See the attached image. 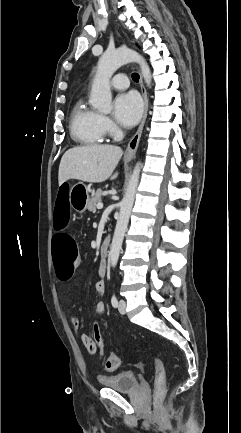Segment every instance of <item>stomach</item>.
Listing matches in <instances>:
<instances>
[{"mask_svg": "<svg viewBox=\"0 0 241 433\" xmlns=\"http://www.w3.org/2000/svg\"><path fill=\"white\" fill-rule=\"evenodd\" d=\"M71 207L79 213L86 211L90 196L89 190L83 183H77L70 188Z\"/></svg>", "mask_w": 241, "mask_h": 433, "instance_id": "0dacf381", "label": "stomach"}]
</instances>
